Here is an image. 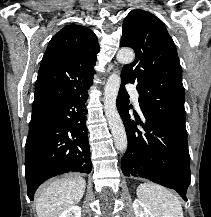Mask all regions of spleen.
I'll list each match as a JSON object with an SVG mask.
<instances>
[{
	"mask_svg": "<svg viewBox=\"0 0 211 217\" xmlns=\"http://www.w3.org/2000/svg\"><path fill=\"white\" fill-rule=\"evenodd\" d=\"M137 196L154 217H183L182 206L177 196L160 185L148 182L140 184Z\"/></svg>",
	"mask_w": 211,
	"mask_h": 217,
	"instance_id": "3e777b00",
	"label": "spleen"
}]
</instances>
